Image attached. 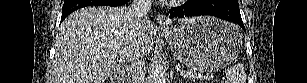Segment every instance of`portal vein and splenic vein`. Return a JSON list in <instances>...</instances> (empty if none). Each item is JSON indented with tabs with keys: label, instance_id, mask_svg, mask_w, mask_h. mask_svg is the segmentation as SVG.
I'll list each match as a JSON object with an SVG mask.
<instances>
[{
	"label": "portal vein and splenic vein",
	"instance_id": "1",
	"mask_svg": "<svg viewBox=\"0 0 307 83\" xmlns=\"http://www.w3.org/2000/svg\"><path fill=\"white\" fill-rule=\"evenodd\" d=\"M182 76L184 77V78H191V77H193V78H199V79H203V80H209V79H212L213 77H214V75L213 74H207V75H201V74H191V73H189V74H182Z\"/></svg>",
	"mask_w": 307,
	"mask_h": 83
}]
</instances>
